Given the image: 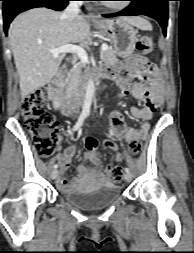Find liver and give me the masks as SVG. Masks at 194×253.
I'll return each mask as SVG.
<instances>
[{"instance_id":"obj_1","label":"liver","mask_w":194,"mask_h":253,"mask_svg":"<svg viewBox=\"0 0 194 253\" xmlns=\"http://www.w3.org/2000/svg\"><path fill=\"white\" fill-rule=\"evenodd\" d=\"M122 19L139 29H151V24L142 17ZM89 35V23L82 15L73 22L47 8H34L18 15L9 27V40L22 98L49 83L57 74L62 56L53 57L50 49L81 43Z\"/></svg>"}]
</instances>
